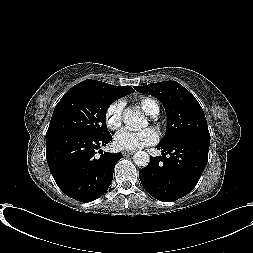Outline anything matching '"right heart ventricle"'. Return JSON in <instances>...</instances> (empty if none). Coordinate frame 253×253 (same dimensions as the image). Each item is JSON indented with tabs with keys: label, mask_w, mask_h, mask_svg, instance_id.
I'll return each instance as SVG.
<instances>
[{
	"label": "right heart ventricle",
	"mask_w": 253,
	"mask_h": 253,
	"mask_svg": "<svg viewBox=\"0 0 253 253\" xmlns=\"http://www.w3.org/2000/svg\"><path fill=\"white\" fill-rule=\"evenodd\" d=\"M136 104L148 115L154 116L159 112L158 103L150 97L140 98Z\"/></svg>",
	"instance_id": "1"
}]
</instances>
